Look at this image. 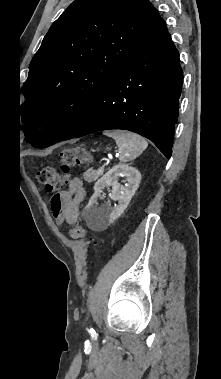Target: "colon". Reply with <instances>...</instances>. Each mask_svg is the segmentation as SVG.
I'll return each instance as SVG.
<instances>
[{
	"mask_svg": "<svg viewBox=\"0 0 221 379\" xmlns=\"http://www.w3.org/2000/svg\"><path fill=\"white\" fill-rule=\"evenodd\" d=\"M89 160L88 152L82 148L66 149L61 153L59 172L53 167H45L38 172V181L45 186L47 192L49 190L61 191L69 183L71 168L76 164L86 163ZM70 235L74 239H83L86 237V231L81 225L77 224L71 228Z\"/></svg>",
	"mask_w": 221,
	"mask_h": 379,
	"instance_id": "1",
	"label": "colon"
}]
</instances>
